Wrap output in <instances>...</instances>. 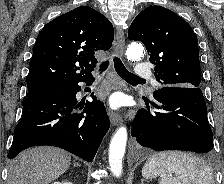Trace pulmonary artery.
I'll return each instance as SVG.
<instances>
[{
	"label": "pulmonary artery",
	"instance_id": "obj_1",
	"mask_svg": "<svg viewBox=\"0 0 224 184\" xmlns=\"http://www.w3.org/2000/svg\"><path fill=\"white\" fill-rule=\"evenodd\" d=\"M151 74L152 73H151L150 67L146 63L138 64L134 70V75L139 78L150 77Z\"/></svg>",
	"mask_w": 224,
	"mask_h": 184
}]
</instances>
